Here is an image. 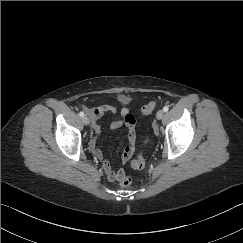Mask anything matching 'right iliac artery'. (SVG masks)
<instances>
[{"instance_id":"right-iliac-artery-1","label":"right iliac artery","mask_w":243,"mask_h":243,"mask_svg":"<svg viewBox=\"0 0 243 243\" xmlns=\"http://www.w3.org/2000/svg\"><path fill=\"white\" fill-rule=\"evenodd\" d=\"M79 115H80V117H84V113L83 112H80Z\"/></svg>"}]
</instances>
